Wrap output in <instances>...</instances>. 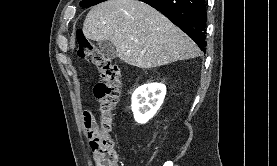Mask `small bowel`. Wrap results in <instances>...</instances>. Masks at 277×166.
Returning <instances> with one entry per match:
<instances>
[{
  "label": "small bowel",
  "mask_w": 277,
  "mask_h": 166,
  "mask_svg": "<svg viewBox=\"0 0 277 166\" xmlns=\"http://www.w3.org/2000/svg\"><path fill=\"white\" fill-rule=\"evenodd\" d=\"M83 120H84V125L86 127L88 121L90 123H94L95 122V117H94V115L91 112H85Z\"/></svg>",
  "instance_id": "1"
}]
</instances>
